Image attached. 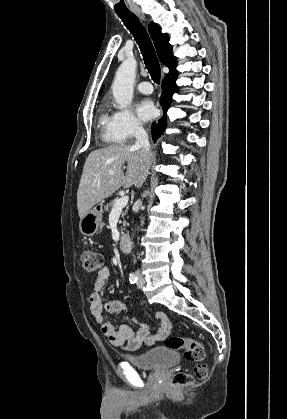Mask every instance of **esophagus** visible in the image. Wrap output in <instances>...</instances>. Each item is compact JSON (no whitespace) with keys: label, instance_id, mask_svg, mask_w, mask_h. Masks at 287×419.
<instances>
[{"label":"esophagus","instance_id":"obj_1","mask_svg":"<svg viewBox=\"0 0 287 419\" xmlns=\"http://www.w3.org/2000/svg\"><path fill=\"white\" fill-rule=\"evenodd\" d=\"M136 15H137L138 17H140L141 19H145V15H144V13H143V12H141V11H137V12H136Z\"/></svg>","mask_w":287,"mask_h":419}]
</instances>
